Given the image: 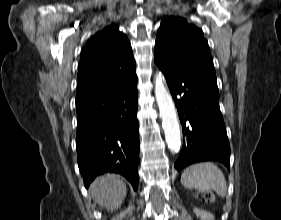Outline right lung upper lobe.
Returning a JSON list of instances; mask_svg holds the SVG:
<instances>
[{"label": "right lung upper lobe", "instance_id": "obj_1", "mask_svg": "<svg viewBox=\"0 0 281 220\" xmlns=\"http://www.w3.org/2000/svg\"><path fill=\"white\" fill-rule=\"evenodd\" d=\"M77 77L76 105L121 90L137 79L130 42L117 26H107L88 40Z\"/></svg>", "mask_w": 281, "mask_h": 220}]
</instances>
